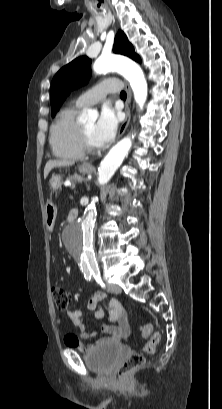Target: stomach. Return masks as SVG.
I'll use <instances>...</instances> for the list:
<instances>
[{"label":"stomach","mask_w":222,"mask_h":409,"mask_svg":"<svg viewBox=\"0 0 222 409\" xmlns=\"http://www.w3.org/2000/svg\"><path fill=\"white\" fill-rule=\"evenodd\" d=\"M79 171L82 174H89L92 171V167L81 165L79 167ZM62 184H63V180L60 175H52L49 181V186L53 192L57 191L58 189H61ZM45 212H46V225L48 229L51 230L53 229L55 220H56V215H57L56 206L51 201H48L45 207Z\"/></svg>","instance_id":"1"}]
</instances>
